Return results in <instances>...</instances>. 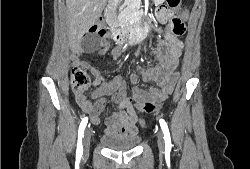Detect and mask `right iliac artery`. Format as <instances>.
<instances>
[{
	"mask_svg": "<svg viewBox=\"0 0 250 169\" xmlns=\"http://www.w3.org/2000/svg\"><path fill=\"white\" fill-rule=\"evenodd\" d=\"M88 123V117L82 119L79 130H78V143H77V150H76V161H80L82 154H83V146H82V137L84 134V129Z\"/></svg>",
	"mask_w": 250,
	"mask_h": 169,
	"instance_id": "obj_1",
	"label": "right iliac artery"
}]
</instances>
